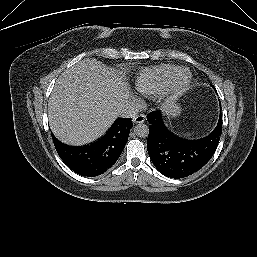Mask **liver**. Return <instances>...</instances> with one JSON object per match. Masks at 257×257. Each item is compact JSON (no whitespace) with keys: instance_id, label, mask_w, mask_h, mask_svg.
I'll use <instances>...</instances> for the list:
<instances>
[{"instance_id":"liver-1","label":"liver","mask_w":257,"mask_h":257,"mask_svg":"<svg viewBox=\"0 0 257 257\" xmlns=\"http://www.w3.org/2000/svg\"><path fill=\"white\" fill-rule=\"evenodd\" d=\"M129 97L128 84L94 58L58 78L48 105L50 129L62 142L84 145L101 137Z\"/></svg>"}]
</instances>
